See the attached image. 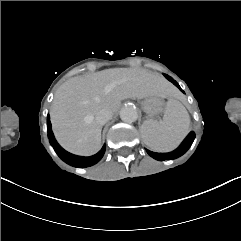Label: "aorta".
I'll return each instance as SVG.
<instances>
[{"instance_id": "1", "label": "aorta", "mask_w": 241, "mask_h": 241, "mask_svg": "<svg viewBox=\"0 0 241 241\" xmlns=\"http://www.w3.org/2000/svg\"><path fill=\"white\" fill-rule=\"evenodd\" d=\"M120 118L123 122L132 123L138 118V113L135 107L128 105L120 110Z\"/></svg>"}]
</instances>
